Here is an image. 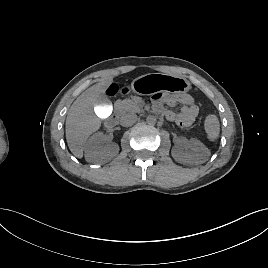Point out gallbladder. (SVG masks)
Returning <instances> with one entry per match:
<instances>
[{
    "label": "gallbladder",
    "mask_w": 268,
    "mask_h": 268,
    "mask_svg": "<svg viewBox=\"0 0 268 268\" xmlns=\"http://www.w3.org/2000/svg\"><path fill=\"white\" fill-rule=\"evenodd\" d=\"M95 106L96 114L99 117L106 118L111 115L113 106L105 95H102L101 98L97 99Z\"/></svg>",
    "instance_id": "1"
}]
</instances>
